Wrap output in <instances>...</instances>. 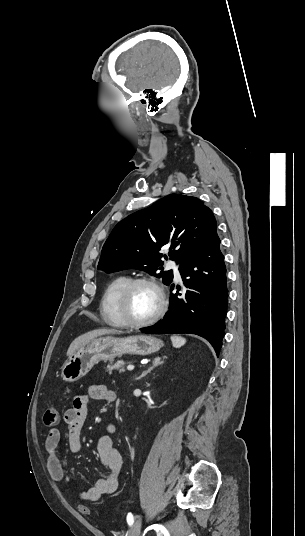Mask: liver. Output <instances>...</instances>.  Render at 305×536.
Here are the masks:
<instances>
[{"label":"liver","mask_w":305,"mask_h":536,"mask_svg":"<svg viewBox=\"0 0 305 536\" xmlns=\"http://www.w3.org/2000/svg\"><path fill=\"white\" fill-rule=\"evenodd\" d=\"M105 334H124V332H119V330H93V332H87V334L79 336V338H76V340L70 344L67 350V356H72V354H75L76 350H79V348L88 344L90 340H94V338H98V336H105Z\"/></svg>","instance_id":"obj_1"}]
</instances>
